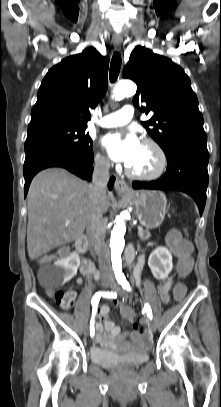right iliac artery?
Here are the masks:
<instances>
[{"instance_id":"82829eb1","label":"right iliac artery","mask_w":221,"mask_h":407,"mask_svg":"<svg viewBox=\"0 0 221 407\" xmlns=\"http://www.w3.org/2000/svg\"><path fill=\"white\" fill-rule=\"evenodd\" d=\"M101 296H103V297H116L117 296V293L116 292H98V293H96L94 296H93V298H92V301H91V304H92V307H93V311H92V317H91V320H90V335H91V337H93L94 336V334H95V326H94V322H95V315H96V312H97V306H98V303H99V300H100V297Z\"/></svg>"}]
</instances>
